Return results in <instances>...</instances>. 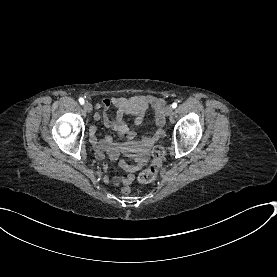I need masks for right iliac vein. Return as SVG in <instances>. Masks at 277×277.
<instances>
[{"label": "right iliac vein", "mask_w": 277, "mask_h": 277, "mask_svg": "<svg viewBox=\"0 0 277 277\" xmlns=\"http://www.w3.org/2000/svg\"><path fill=\"white\" fill-rule=\"evenodd\" d=\"M83 107H84V110L88 113H90L93 109L92 105L89 102H86Z\"/></svg>", "instance_id": "right-iliac-vein-1"}]
</instances>
